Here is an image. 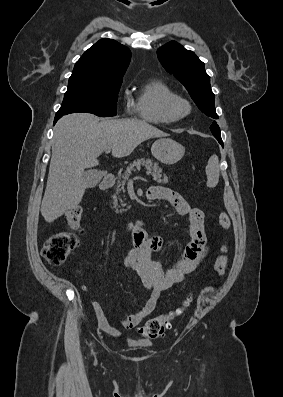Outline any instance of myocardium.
Here are the masks:
<instances>
[{
  "instance_id": "obj_1",
  "label": "myocardium",
  "mask_w": 283,
  "mask_h": 397,
  "mask_svg": "<svg viewBox=\"0 0 283 397\" xmlns=\"http://www.w3.org/2000/svg\"><path fill=\"white\" fill-rule=\"evenodd\" d=\"M167 111L175 121H178L186 118L191 113L192 105L188 99L177 95L169 100Z\"/></svg>"
}]
</instances>
